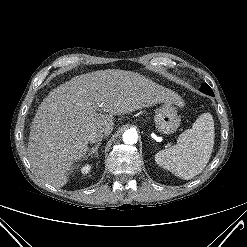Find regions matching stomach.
Here are the masks:
<instances>
[{
    "label": "stomach",
    "instance_id": "obj_1",
    "mask_svg": "<svg viewBox=\"0 0 247 247\" xmlns=\"http://www.w3.org/2000/svg\"><path fill=\"white\" fill-rule=\"evenodd\" d=\"M180 121L175 107L167 102L158 109L154 117L156 129L161 134H172L177 131Z\"/></svg>",
    "mask_w": 247,
    "mask_h": 247
}]
</instances>
